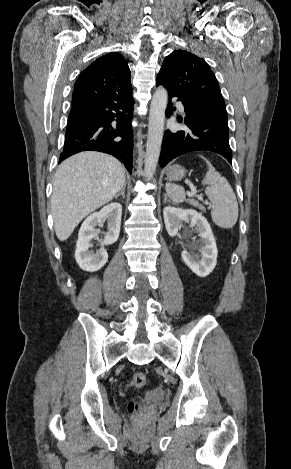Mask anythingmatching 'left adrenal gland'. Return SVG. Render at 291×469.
<instances>
[{
	"mask_svg": "<svg viewBox=\"0 0 291 469\" xmlns=\"http://www.w3.org/2000/svg\"><path fill=\"white\" fill-rule=\"evenodd\" d=\"M167 201L171 203V201H170V200H168V198H167V195H166V194H164V200H163V203H166Z\"/></svg>",
	"mask_w": 291,
	"mask_h": 469,
	"instance_id": "1",
	"label": "left adrenal gland"
}]
</instances>
